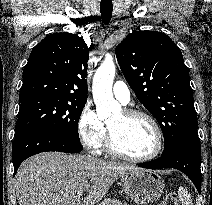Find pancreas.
<instances>
[{"label":"pancreas","instance_id":"obj_1","mask_svg":"<svg viewBox=\"0 0 212 205\" xmlns=\"http://www.w3.org/2000/svg\"><path fill=\"white\" fill-rule=\"evenodd\" d=\"M98 205H128V204L123 203L119 200L105 199Z\"/></svg>","mask_w":212,"mask_h":205}]
</instances>
